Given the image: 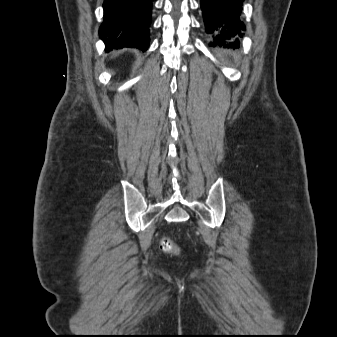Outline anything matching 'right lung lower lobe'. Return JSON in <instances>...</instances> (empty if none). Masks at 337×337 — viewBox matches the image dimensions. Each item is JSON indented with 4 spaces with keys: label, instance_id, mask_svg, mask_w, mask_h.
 Segmentation results:
<instances>
[{
    "label": "right lung lower lobe",
    "instance_id": "1",
    "mask_svg": "<svg viewBox=\"0 0 337 337\" xmlns=\"http://www.w3.org/2000/svg\"><path fill=\"white\" fill-rule=\"evenodd\" d=\"M103 8L99 34L107 52L123 47L148 49L152 0H105Z\"/></svg>",
    "mask_w": 337,
    "mask_h": 337
}]
</instances>
